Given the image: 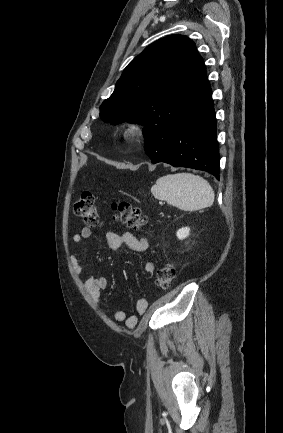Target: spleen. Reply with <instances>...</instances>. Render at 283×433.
<instances>
[{
  "instance_id": "3e777b00",
  "label": "spleen",
  "mask_w": 283,
  "mask_h": 433,
  "mask_svg": "<svg viewBox=\"0 0 283 433\" xmlns=\"http://www.w3.org/2000/svg\"><path fill=\"white\" fill-rule=\"evenodd\" d=\"M152 194L159 200H167L181 210H200L214 202V190L209 182L191 172L166 174L157 178L151 188Z\"/></svg>"
}]
</instances>
